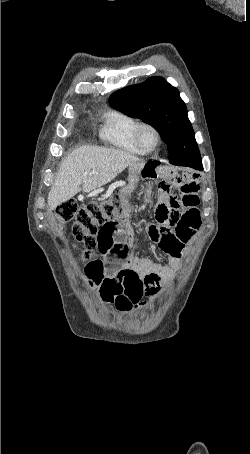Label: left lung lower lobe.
I'll return each mask as SVG.
<instances>
[{
	"label": "left lung lower lobe",
	"mask_w": 250,
	"mask_h": 454,
	"mask_svg": "<svg viewBox=\"0 0 250 454\" xmlns=\"http://www.w3.org/2000/svg\"><path fill=\"white\" fill-rule=\"evenodd\" d=\"M169 162L173 165L189 166L198 170L202 169L201 158L194 154L172 156L169 158Z\"/></svg>",
	"instance_id": "1"
}]
</instances>
